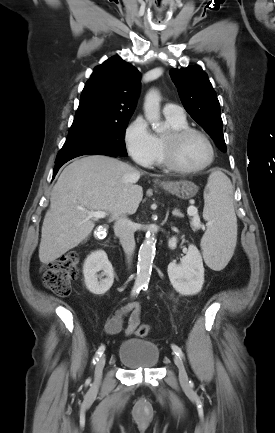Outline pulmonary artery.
Listing matches in <instances>:
<instances>
[{"instance_id":"1","label":"pulmonary artery","mask_w":275,"mask_h":433,"mask_svg":"<svg viewBox=\"0 0 275 433\" xmlns=\"http://www.w3.org/2000/svg\"><path fill=\"white\" fill-rule=\"evenodd\" d=\"M163 113L166 117L183 119L185 118V113L182 107L176 104L168 103L163 108Z\"/></svg>"}]
</instances>
